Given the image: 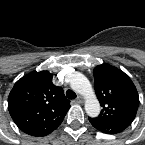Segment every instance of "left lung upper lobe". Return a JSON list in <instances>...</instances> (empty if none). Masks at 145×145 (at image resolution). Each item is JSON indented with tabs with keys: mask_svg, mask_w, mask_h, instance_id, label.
I'll return each instance as SVG.
<instances>
[{
	"mask_svg": "<svg viewBox=\"0 0 145 145\" xmlns=\"http://www.w3.org/2000/svg\"><path fill=\"white\" fill-rule=\"evenodd\" d=\"M93 73L94 88L102 110L98 117L89 118V121L103 133H120L136 116L139 106L136 87L128 75L108 64L96 66Z\"/></svg>",
	"mask_w": 145,
	"mask_h": 145,
	"instance_id": "left-lung-upper-lobe-1",
	"label": "left lung upper lobe"
}]
</instances>
